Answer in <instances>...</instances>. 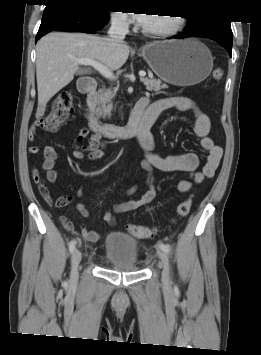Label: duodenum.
Returning a JSON list of instances; mask_svg holds the SVG:
<instances>
[{"instance_id": "410a0bca", "label": "duodenum", "mask_w": 261, "mask_h": 355, "mask_svg": "<svg viewBox=\"0 0 261 355\" xmlns=\"http://www.w3.org/2000/svg\"><path fill=\"white\" fill-rule=\"evenodd\" d=\"M98 83L89 78H83L78 83V90L87 95V104L85 107V118L88 122L89 128L96 133H99L107 138H130L142 131L148 130L152 126V121L147 120L143 116L142 104L144 102L140 101L136 104L129 122L125 125H116L111 123L101 122L94 111L91 108V105L94 101V93ZM143 99V98H142Z\"/></svg>"}]
</instances>
